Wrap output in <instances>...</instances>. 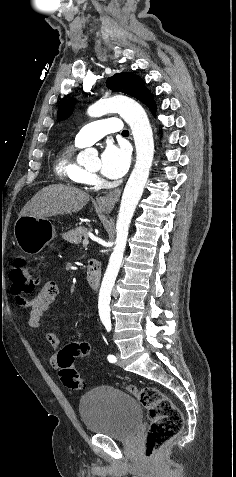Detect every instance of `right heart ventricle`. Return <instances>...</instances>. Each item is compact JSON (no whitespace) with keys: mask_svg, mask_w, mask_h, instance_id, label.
I'll return each instance as SVG.
<instances>
[{"mask_svg":"<svg viewBox=\"0 0 236 477\" xmlns=\"http://www.w3.org/2000/svg\"><path fill=\"white\" fill-rule=\"evenodd\" d=\"M82 147V145L75 143L74 146L66 149L56 162L57 175L61 179L74 185H85L92 181V177L88 170L79 165L74 158L75 150Z\"/></svg>","mask_w":236,"mask_h":477,"instance_id":"1","label":"right heart ventricle"}]
</instances>
